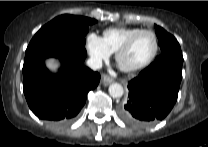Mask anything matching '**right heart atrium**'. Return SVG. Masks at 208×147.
<instances>
[{
  "label": "right heart atrium",
  "mask_w": 208,
  "mask_h": 147,
  "mask_svg": "<svg viewBox=\"0 0 208 147\" xmlns=\"http://www.w3.org/2000/svg\"><path fill=\"white\" fill-rule=\"evenodd\" d=\"M86 47L91 59L96 64L106 60L111 54L103 39L95 33H90L87 36Z\"/></svg>",
  "instance_id": "d8ad5b80"
}]
</instances>
